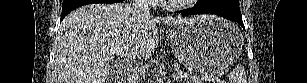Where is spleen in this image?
<instances>
[{
    "mask_svg": "<svg viewBox=\"0 0 307 83\" xmlns=\"http://www.w3.org/2000/svg\"><path fill=\"white\" fill-rule=\"evenodd\" d=\"M230 83H247L245 69L237 65L228 75Z\"/></svg>",
    "mask_w": 307,
    "mask_h": 83,
    "instance_id": "obj_1",
    "label": "spleen"
}]
</instances>
